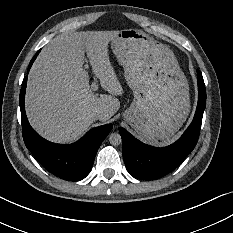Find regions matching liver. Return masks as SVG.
<instances>
[{"mask_svg":"<svg viewBox=\"0 0 233 233\" xmlns=\"http://www.w3.org/2000/svg\"><path fill=\"white\" fill-rule=\"evenodd\" d=\"M118 32H64L42 49L28 74L25 97L29 122L42 137L57 143L72 142L93 123L95 110L103 111L99 120L105 122L120 109L118 96L124 91L108 50ZM85 53L108 94L97 95L91 90Z\"/></svg>","mask_w":233,"mask_h":233,"instance_id":"6515ba94","label":"liver"}]
</instances>
